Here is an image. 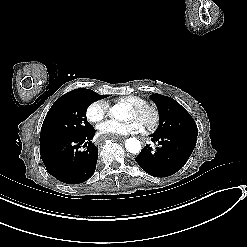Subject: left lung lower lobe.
Wrapping results in <instances>:
<instances>
[{
	"instance_id": "1",
	"label": "left lung lower lobe",
	"mask_w": 247,
	"mask_h": 247,
	"mask_svg": "<svg viewBox=\"0 0 247 247\" xmlns=\"http://www.w3.org/2000/svg\"><path fill=\"white\" fill-rule=\"evenodd\" d=\"M159 147L146 145L135 158L139 166L155 177H167L179 171L195 148L197 138L185 135H151Z\"/></svg>"
}]
</instances>
